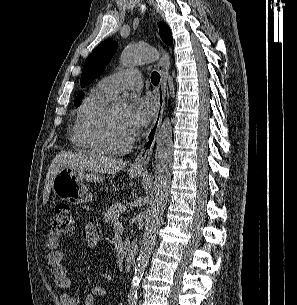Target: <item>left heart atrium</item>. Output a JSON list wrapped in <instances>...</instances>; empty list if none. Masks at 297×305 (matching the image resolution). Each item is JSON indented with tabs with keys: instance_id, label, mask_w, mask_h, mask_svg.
<instances>
[{
	"instance_id": "obj_1",
	"label": "left heart atrium",
	"mask_w": 297,
	"mask_h": 305,
	"mask_svg": "<svg viewBox=\"0 0 297 305\" xmlns=\"http://www.w3.org/2000/svg\"><path fill=\"white\" fill-rule=\"evenodd\" d=\"M155 112V103L150 96H135L123 115V126L133 139L148 125Z\"/></svg>"
}]
</instances>
